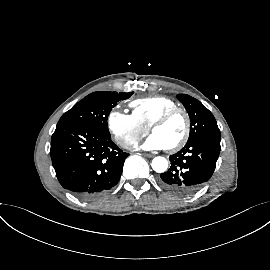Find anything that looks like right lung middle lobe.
<instances>
[{"label":"right lung middle lobe","instance_id":"dd1d6c3e","mask_svg":"<svg viewBox=\"0 0 270 270\" xmlns=\"http://www.w3.org/2000/svg\"><path fill=\"white\" fill-rule=\"evenodd\" d=\"M132 94L133 92L107 91L91 93L64 113L57 127L72 124L86 125L105 134H110L107 123L110 111L120 101L129 98Z\"/></svg>","mask_w":270,"mask_h":270}]
</instances>
